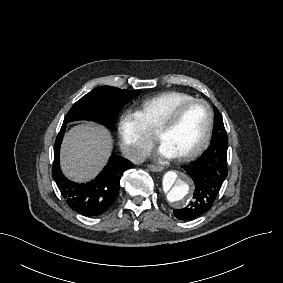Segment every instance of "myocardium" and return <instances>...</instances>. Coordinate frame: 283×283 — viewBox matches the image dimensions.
Here are the masks:
<instances>
[{
	"label": "myocardium",
	"instance_id": "1",
	"mask_svg": "<svg viewBox=\"0 0 283 283\" xmlns=\"http://www.w3.org/2000/svg\"><path fill=\"white\" fill-rule=\"evenodd\" d=\"M194 103H201L207 109L208 121L205 133L200 141V143L192 150L178 156L177 158L181 161H187L199 155L209 144L214 124V111L212 106L204 99L192 98L183 101L175 106H173L170 112L166 115H161L158 121V127L154 131V136L158 144L161 145V136L163 132L170 130L184 112V110Z\"/></svg>",
	"mask_w": 283,
	"mask_h": 283
}]
</instances>
